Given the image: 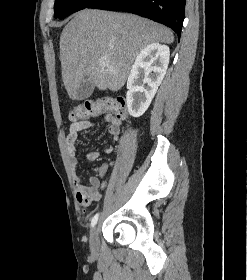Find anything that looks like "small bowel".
Segmentation results:
<instances>
[{"label": "small bowel", "mask_w": 247, "mask_h": 280, "mask_svg": "<svg viewBox=\"0 0 247 280\" xmlns=\"http://www.w3.org/2000/svg\"><path fill=\"white\" fill-rule=\"evenodd\" d=\"M105 121L108 123V132L114 142H116L120 135L121 119L114 117L113 115H104ZM94 123L90 120L73 121L69 126V131L66 136V148L70 166L73 172L76 171L78 166L77 158V144L78 134L82 131L92 128ZM113 147H109L106 152L111 153ZM100 158L98 151H90L86 154V160L89 162L96 161ZM108 171V165L103 164L98 169L96 176H91L88 180V185H84L79 176L74 175V189L76 199L83 207H88L98 201L101 197V191L105 187V181L102 178Z\"/></svg>", "instance_id": "c3829d8e"}]
</instances>
